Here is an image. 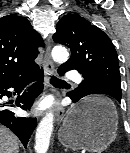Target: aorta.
I'll list each match as a JSON object with an SVG mask.
<instances>
[{"label": "aorta", "mask_w": 130, "mask_h": 153, "mask_svg": "<svg viewBox=\"0 0 130 153\" xmlns=\"http://www.w3.org/2000/svg\"><path fill=\"white\" fill-rule=\"evenodd\" d=\"M52 58L56 62H65L68 59V51L64 47L56 46L52 50ZM54 115L49 112L40 121L35 136L36 153H46L49 148L50 137L53 131Z\"/></svg>", "instance_id": "1"}]
</instances>
